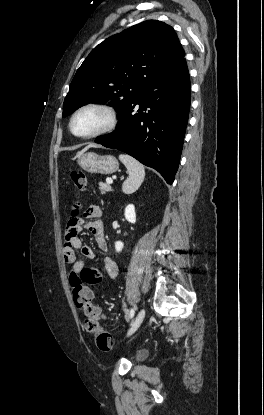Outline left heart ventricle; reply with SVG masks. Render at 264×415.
<instances>
[{
	"label": "left heart ventricle",
	"mask_w": 264,
	"mask_h": 415,
	"mask_svg": "<svg viewBox=\"0 0 264 415\" xmlns=\"http://www.w3.org/2000/svg\"><path fill=\"white\" fill-rule=\"evenodd\" d=\"M107 115L97 109H86L79 113L74 120V131L81 135L90 134L107 123Z\"/></svg>",
	"instance_id": "left-heart-ventricle-1"
}]
</instances>
